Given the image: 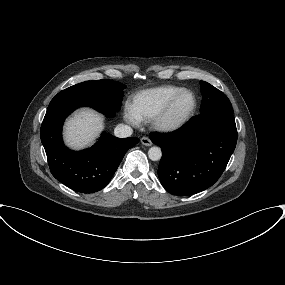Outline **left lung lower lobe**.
I'll return each instance as SVG.
<instances>
[{
    "label": "left lung lower lobe",
    "instance_id": "obj_1",
    "mask_svg": "<svg viewBox=\"0 0 285 285\" xmlns=\"http://www.w3.org/2000/svg\"><path fill=\"white\" fill-rule=\"evenodd\" d=\"M162 149L158 176L173 195L199 193L222 175L237 143L233 112L211 110L193 117L177 131L151 134Z\"/></svg>",
    "mask_w": 285,
    "mask_h": 285
}]
</instances>
